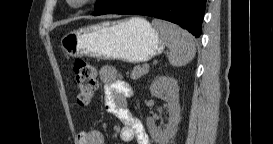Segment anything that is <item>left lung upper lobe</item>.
I'll use <instances>...</instances> for the list:
<instances>
[{
	"instance_id": "obj_1",
	"label": "left lung upper lobe",
	"mask_w": 273,
	"mask_h": 144,
	"mask_svg": "<svg viewBox=\"0 0 273 144\" xmlns=\"http://www.w3.org/2000/svg\"><path fill=\"white\" fill-rule=\"evenodd\" d=\"M111 0H98L96 2L94 13L102 11Z\"/></svg>"
}]
</instances>
